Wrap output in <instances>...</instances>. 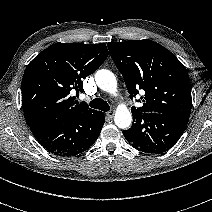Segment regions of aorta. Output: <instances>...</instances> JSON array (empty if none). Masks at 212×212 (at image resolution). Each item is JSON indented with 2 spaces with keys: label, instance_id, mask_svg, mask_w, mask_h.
<instances>
[{
  "label": "aorta",
  "instance_id": "1",
  "mask_svg": "<svg viewBox=\"0 0 212 212\" xmlns=\"http://www.w3.org/2000/svg\"><path fill=\"white\" fill-rule=\"evenodd\" d=\"M95 81L101 90L111 94L117 92V80L111 71L106 69L98 70L95 74ZM114 121L117 127L127 129L132 123L131 112L126 106H119L115 112Z\"/></svg>",
  "mask_w": 212,
  "mask_h": 212
}]
</instances>
